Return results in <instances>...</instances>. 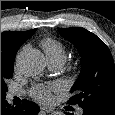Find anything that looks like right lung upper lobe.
Returning a JSON list of instances; mask_svg holds the SVG:
<instances>
[{"label":"right lung upper lobe","instance_id":"obj_1","mask_svg":"<svg viewBox=\"0 0 115 115\" xmlns=\"http://www.w3.org/2000/svg\"><path fill=\"white\" fill-rule=\"evenodd\" d=\"M36 29L30 31H6L1 33V72L13 71L15 55L19 47L29 39Z\"/></svg>","mask_w":115,"mask_h":115}]
</instances>
